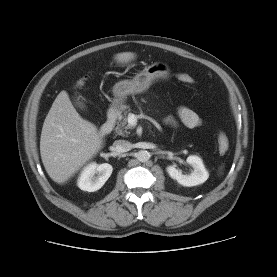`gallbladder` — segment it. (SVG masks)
<instances>
[{
  "label": "gallbladder",
  "instance_id": "obj_1",
  "mask_svg": "<svg viewBox=\"0 0 277 277\" xmlns=\"http://www.w3.org/2000/svg\"><path fill=\"white\" fill-rule=\"evenodd\" d=\"M76 106L80 109H85V103L83 101L77 100L76 101Z\"/></svg>",
  "mask_w": 277,
  "mask_h": 277
}]
</instances>
